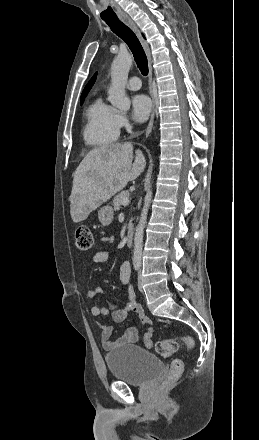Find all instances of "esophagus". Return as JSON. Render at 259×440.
<instances>
[{
  "label": "esophagus",
  "mask_w": 259,
  "mask_h": 440,
  "mask_svg": "<svg viewBox=\"0 0 259 440\" xmlns=\"http://www.w3.org/2000/svg\"><path fill=\"white\" fill-rule=\"evenodd\" d=\"M119 18L128 25L132 30H134L143 46V49L147 56L148 61V82H149V92L150 96L152 98V112L151 117L148 123V126L146 128L145 136L148 137L149 134L152 131L153 124H154V117H155V96H154V90H153V80H152V58L151 53L148 44L144 41L143 37L141 36L139 30L137 29L134 21L127 15V14H121Z\"/></svg>",
  "instance_id": "34e87169"
}]
</instances>
